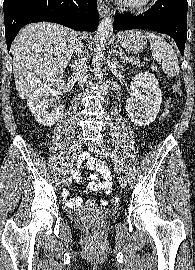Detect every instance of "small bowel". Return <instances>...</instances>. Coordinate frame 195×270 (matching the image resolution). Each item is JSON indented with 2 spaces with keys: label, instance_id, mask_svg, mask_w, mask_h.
Returning a JSON list of instances; mask_svg holds the SVG:
<instances>
[{
  "label": "small bowel",
  "instance_id": "small-bowel-1",
  "mask_svg": "<svg viewBox=\"0 0 195 270\" xmlns=\"http://www.w3.org/2000/svg\"><path fill=\"white\" fill-rule=\"evenodd\" d=\"M166 114V110L163 112L162 117H164ZM85 162L86 166L90 170L96 171V173H93L90 175V181L88 183V188L92 191H103L105 196H109L111 193V187L113 185V174L111 170L109 169L108 165L88 154H84L81 158V162ZM100 174L103 177L102 181H99V175ZM77 181H80V178H76ZM82 203L81 198H70L67 199L66 204L69 207L78 206ZM102 205L107 204V200H103L101 202Z\"/></svg>",
  "mask_w": 195,
  "mask_h": 270
}]
</instances>
